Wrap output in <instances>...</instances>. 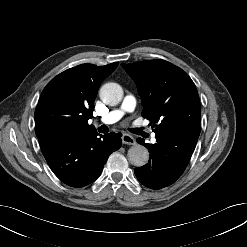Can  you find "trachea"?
<instances>
[{
    "label": "trachea",
    "instance_id": "1",
    "mask_svg": "<svg viewBox=\"0 0 247 247\" xmlns=\"http://www.w3.org/2000/svg\"><path fill=\"white\" fill-rule=\"evenodd\" d=\"M99 132H101V133H107V132H108V127L105 126V125H102V126L99 128Z\"/></svg>",
    "mask_w": 247,
    "mask_h": 247
}]
</instances>
